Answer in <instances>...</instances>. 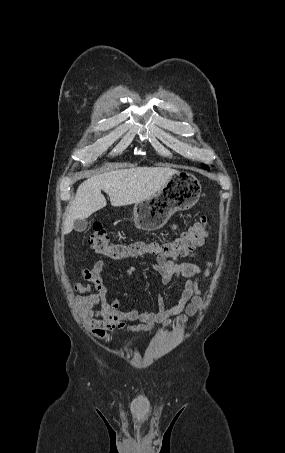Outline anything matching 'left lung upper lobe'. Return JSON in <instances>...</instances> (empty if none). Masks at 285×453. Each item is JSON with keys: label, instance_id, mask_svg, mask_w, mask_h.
Wrapping results in <instances>:
<instances>
[{"label": "left lung upper lobe", "instance_id": "obj_1", "mask_svg": "<svg viewBox=\"0 0 285 453\" xmlns=\"http://www.w3.org/2000/svg\"><path fill=\"white\" fill-rule=\"evenodd\" d=\"M202 167H203L204 169H209V167H208L207 165H205V164H202Z\"/></svg>", "mask_w": 285, "mask_h": 453}]
</instances>
